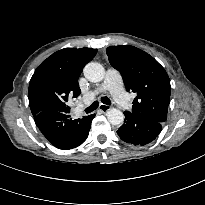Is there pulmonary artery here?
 Masks as SVG:
<instances>
[{"instance_id": "e3ab8cb5", "label": "pulmonary artery", "mask_w": 205, "mask_h": 205, "mask_svg": "<svg viewBox=\"0 0 205 205\" xmlns=\"http://www.w3.org/2000/svg\"><path fill=\"white\" fill-rule=\"evenodd\" d=\"M107 90L110 91L120 108L124 110L129 108V98L123 88L122 78L114 69H109L106 72L104 82L90 91L84 99L87 101L92 100L95 96Z\"/></svg>"}]
</instances>
